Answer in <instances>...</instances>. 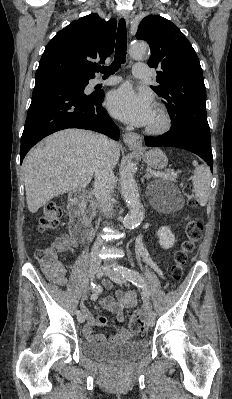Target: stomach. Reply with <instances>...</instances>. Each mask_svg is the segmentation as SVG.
Here are the masks:
<instances>
[{"instance_id": "obj_1", "label": "stomach", "mask_w": 232, "mask_h": 399, "mask_svg": "<svg viewBox=\"0 0 232 399\" xmlns=\"http://www.w3.org/2000/svg\"><path fill=\"white\" fill-rule=\"evenodd\" d=\"M143 160L150 168H154V170H164L168 164L167 156L159 148H153L149 152H144Z\"/></svg>"}]
</instances>
